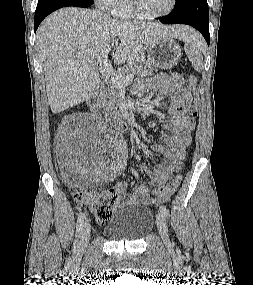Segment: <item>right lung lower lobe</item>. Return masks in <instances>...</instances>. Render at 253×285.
<instances>
[{"mask_svg":"<svg viewBox=\"0 0 253 285\" xmlns=\"http://www.w3.org/2000/svg\"><path fill=\"white\" fill-rule=\"evenodd\" d=\"M91 3L74 1V0H39L34 18V29L35 32L41 23V21L49 15L51 12L67 6L75 7H89Z\"/></svg>","mask_w":253,"mask_h":285,"instance_id":"right-lung-lower-lobe-1","label":"right lung lower lobe"}]
</instances>
